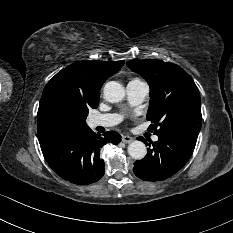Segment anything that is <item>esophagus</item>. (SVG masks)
<instances>
[{
	"instance_id": "1",
	"label": "esophagus",
	"mask_w": 233,
	"mask_h": 233,
	"mask_svg": "<svg viewBox=\"0 0 233 233\" xmlns=\"http://www.w3.org/2000/svg\"><path fill=\"white\" fill-rule=\"evenodd\" d=\"M134 139H133V137H131V136H128V135H123L122 136V142H124V143H130V142H132Z\"/></svg>"
}]
</instances>
